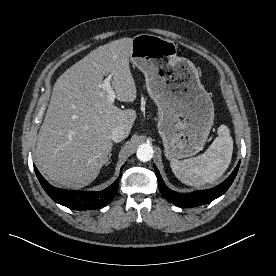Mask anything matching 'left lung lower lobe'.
<instances>
[{
    "label": "left lung lower lobe",
    "instance_id": "0a47b994",
    "mask_svg": "<svg viewBox=\"0 0 276 276\" xmlns=\"http://www.w3.org/2000/svg\"><path fill=\"white\" fill-rule=\"evenodd\" d=\"M240 166V161L237 164L236 168L234 171L231 173V175L221 184L216 186L215 188L209 189V190H203V191H195L192 193H187V194H181V193H176L172 190H170L163 182L161 175L154 166L155 173L157 176L158 184H159V189L161 194L171 203L175 204L176 206L183 207V208H191V207H196L200 205H204L207 203L212 202L214 199L220 197L223 195L232 182L234 181L238 169Z\"/></svg>",
    "mask_w": 276,
    "mask_h": 276
}]
</instances>
